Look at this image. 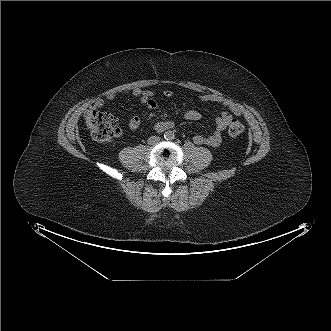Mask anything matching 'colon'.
Here are the masks:
<instances>
[{"label":"colon","mask_w":331,"mask_h":331,"mask_svg":"<svg viewBox=\"0 0 331 331\" xmlns=\"http://www.w3.org/2000/svg\"><path fill=\"white\" fill-rule=\"evenodd\" d=\"M85 122L91 131L92 137L99 142L112 141L120 134L115 116L107 111H100L95 108H89L85 113ZM244 131L243 124L236 118H233L228 126L230 136L237 137Z\"/></svg>","instance_id":"colon-1"}]
</instances>
